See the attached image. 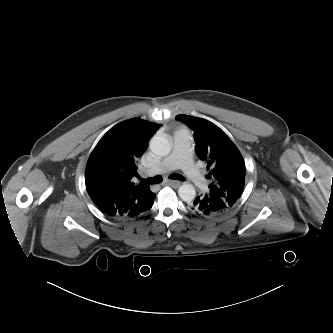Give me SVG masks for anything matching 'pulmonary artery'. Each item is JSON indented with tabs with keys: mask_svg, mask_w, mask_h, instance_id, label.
Wrapping results in <instances>:
<instances>
[{
	"mask_svg": "<svg viewBox=\"0 0 333 333\" xmlns=\"http://www.w3.org/2000/svg\"><path fill=\"white\" fill-rule=\"evenodd\" d=\"M173 140L174 146L171 154L156 164L149 174H161L181 168L196 187H204L206 179L192 161L190 132L187 129H179L174 132Z\"/></svg>",
	"mask_w": 333,
	"mask_h": 333,
	"instance_id": "pulmonary-artery-1",
	"label": "pulmonary artery"
}]
</instances>
